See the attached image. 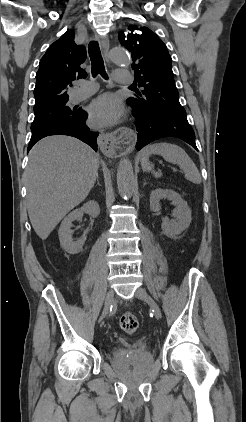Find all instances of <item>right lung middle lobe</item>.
<instances>
[{
	"instance_id": "right-lung-middle-lobe-1",
	"label": "right lung middle lobe",
	"mask_w": 246,
	"mask_h": 422,
	"mask_svg": "<svg viewBox=\"0 0 246 422\" xmlns=\"http://www.w3.org/2000/svg\"><path fill=\"white\" fill-rule=\"evenodd\" d=\"M67 102L68 99L34 109L35 118L31 129L49 122L74 119L79 114L80 109H71L67 106Z\"/></svg>"
}]
</instances>
